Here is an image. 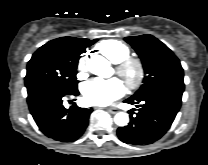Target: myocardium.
I'll list each match as a JSON object with an SVG mask.
<instances>
[{"mask_svg":"<svg viewBox=\"0 0 208 165\" xmlns=\"http://www.w3.org/2000/svg\"><path fill=\"white\" fill-rule=\"evenodd\" d=\"M115 70L130 89L138 88L143 82L145 70L139 58L128 56L116 63Z\"/></svg>","mask_w":208,"mask_h":165,"instance_id":"1","label":"myocardium"}]
</instances>
